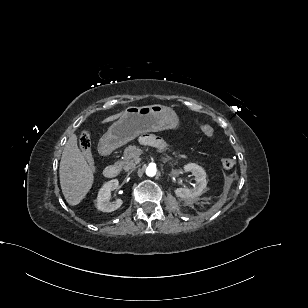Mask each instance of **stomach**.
<instances>
[{"label":"stomach","mask_w":308,"mask_h":308,"mask_svg":"<svg viewBox=\"0 0 308 308\" xmlns=\"http://www.w3.org/2000/svg\"><path fill=\"white\" fill-rule=\"evenodd\" d=\"M179 126V117L170 107L160 104L128 107L123 115L109 127L100 141V148L113 150L142 133L177 129Z\"/></svg>","instance_id":"obj_1"}]
</instances>
